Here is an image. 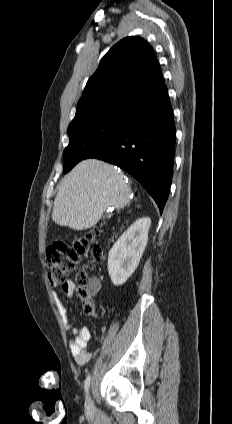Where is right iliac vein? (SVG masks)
Segmentation results:
<instances>
[{"instance_id":"1","label":"right iliac vein","mask_w":232,"mask_h":424,"mask_svg":"<svg viewBox=\"0 0 232 424\" xmlns=\"http://www.w3.org/2000/svg\"><path fill=\"white\" fill-rule=\"evenodd\" d=\"M85 409L87 412H92L94 409V403L91 396L88 394L85 402Z\"/></svg>"}]
</instances>
